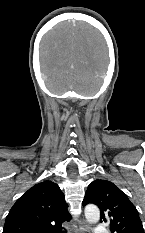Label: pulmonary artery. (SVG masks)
<instances>
[{
  "label": "pulmonary artery",
  "instance_id": "e3ab8cb5",
  "mask_svg": "<svg viewBox=\"0 0 145 233\" xmlns=\"http://www.w3.org/2000/svg\"><path fill=\"white\" fill-rule=\"evenodd\" d=\"M95 233H109V231L104 229L101 224H98L95 228Z\"/></svg>",
  "mask_w": 145,
  "mask_h": 233
}]
</instances>
